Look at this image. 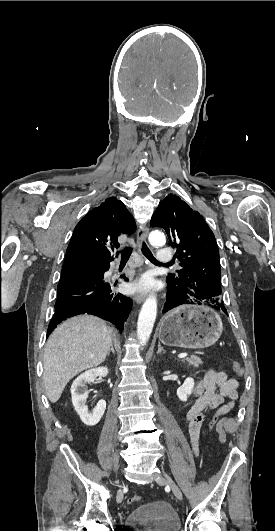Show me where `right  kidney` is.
<instances>
[{
    "label": "right kidney",
    "mask_w": 275,
    "mask_h": 531,
    "mask_svg": "<svg viewBox=\"0 0 275 531\" xmlns=\"http://www.w3.org/2000/svg\"><path fill=\"white\" fill-rule=\"evenodd\" d=\"M109 369L107 367H97V369H89L82 375H79L71 385V397L73 407L78 413L82 423L87 427H94L99 423L104 415L106 409V401H99L97 407H95L93 413H89L86 401L88 399V393L86 391V383H93L97 377H107Z\"/></svg>",
    "instance_id": "1"
}]
</instances>
